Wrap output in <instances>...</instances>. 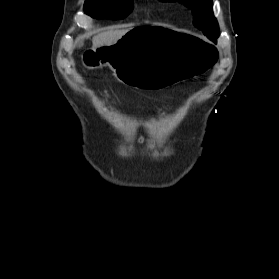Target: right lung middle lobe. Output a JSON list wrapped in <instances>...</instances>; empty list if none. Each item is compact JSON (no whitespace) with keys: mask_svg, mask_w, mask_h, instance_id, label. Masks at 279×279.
<instances>
[{"mask_svg":"<svg viewBox=\"0 0 279 279\" xmlns=\"http://www.w3.org/2000/svg\"><path fill=\"white\" fill-rule=\"evenodd\" d=\"M133 0H86L84 12L93 18L123 19L132 10Z\"/></svg>","mask_w":279,"mask_h":279,"instance_id":"1","label":"right lung middle lobe"}]
</instances>
